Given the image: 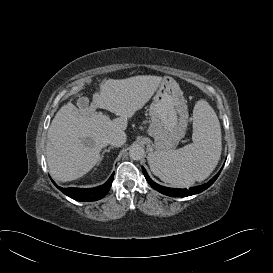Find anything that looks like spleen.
Instances as JSON below:
<instances>
[{
	"label": "spleen",
	"instance_id": "spleen-1",
	"mask_svg": "<svg viewBox=\"0 0 273 273\" xmlns=\"http://www.w3.org/2000/svg\"><path fill=\"white\" fill-rule=\"evenodd\" d=\"M193 143L180 149L148 156L150 169L165 183L187 187L206 179L221 156V128L213 108L199 100L193 110Z\"/></svg>",
	"mask_w": 273,
	"mask_h": 273
}]
</instances>
